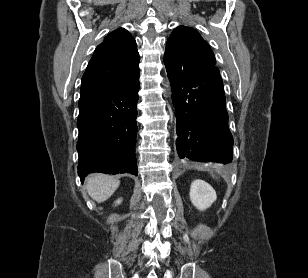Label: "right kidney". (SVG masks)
<instances>
[{
  "label": "right kidney",
  "instance_id": "right-kidney-1",
  "mask_svg": "<svg viewBox=\"0 0 308 278\" xmlns=\"http://www.w3.org/2000/svg\"><path fill=\"white\" fill-rule=\"evenodd\" d=\"M121 203V199H118L117 201H116V204H120Z\"/></svg>",
  "mask_w": 308,
  "mask_h": 278
}]
</instances>
